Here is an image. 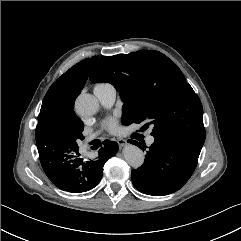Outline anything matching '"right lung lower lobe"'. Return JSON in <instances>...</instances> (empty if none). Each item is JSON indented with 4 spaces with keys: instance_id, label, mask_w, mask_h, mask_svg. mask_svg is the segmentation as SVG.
<instances>
[{
    "instance_id": "obj_1",
    "label": "right lung lower lobe",
    "mask_w": 241,
    "mask_h": 241,
    "mask_svg": "<svg viewBox=\"0 0 241 241\" xmlns=\"http://www.w3.org/2000/svg\"><path fill=\"white\" fill-rule=\"evenodd\" d=\"M39 159L47 177L61 190L82 193L97 186L103 166L118 150V144L106 140L95 160L83 161L79 147L65 145L37 146Z\"/></svg>"
}]
</instances>
